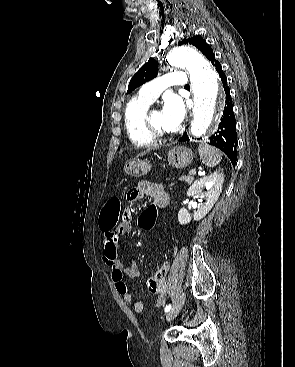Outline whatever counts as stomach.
Segmentation results:
<instances>
[{"mask_svg": "<svg viewBox=\"0 0 295 367\" xmlns=\"http://www.w3.org/2000/svg\"><path fill=\"white\" fill-rule=\"evenodd\" d=\"M194 158L191 149L176 146L168 152V163L174 168L182 169L189 166ZM125 173L132 177H141L151 170L149 162L141 160L129 161L124 167Z\"/></svg>", "mask_w": 295, "mask_h": 367, "instance_id": "stomach-1", "label": "stomach"}]
</instances>
